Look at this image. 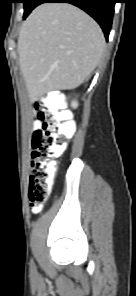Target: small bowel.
<instances>
[{
  "mask_svg": "<svg viewBox=\"0 0 136 296\" xmlns=\"http://www.w3.org/2000/svg\"><path fill=\"white\" fill-rule=\"evenodd\" d=\"M38 127H39V122H35V123H34V128L37 129ZM40 210H41V208L38 209L37 211H33V210H32V211H33V213H37V212H39Z\"/></svg>",
  "mask_w": 136,
  "mask_h": 296,
  "instance_id": "obj_1",
  "label": "small bowel"
}]
</instances>
